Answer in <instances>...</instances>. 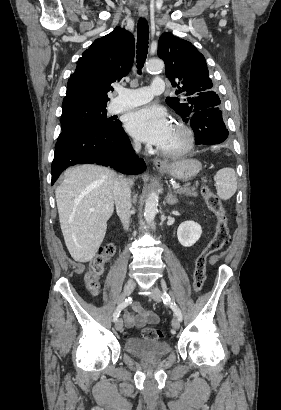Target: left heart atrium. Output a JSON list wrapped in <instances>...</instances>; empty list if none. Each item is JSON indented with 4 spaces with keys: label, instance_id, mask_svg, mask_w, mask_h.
Instances as JSON below:
<instances>
[{
    "label": "left heart atrium",
    "instance_id": "left-heart-atrium-1",
    "mask_svg": "<svg viewBox=\"0 0 281 410\" xmlns=\"http://www.w3.org/2000/svg\"><path fill=\"white\" fill-rule=\"evenodd\" d=\"M126 129L143 142L161 146L168 138L172 124L165 109L151 106L130 113L126 120Z\"/></svg>",
    "mask_w": 281,
    "mask_h": 410
}]
</instances>
